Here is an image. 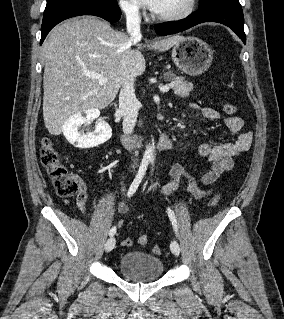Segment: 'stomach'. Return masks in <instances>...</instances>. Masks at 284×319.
<instances>
[{"mask_svg":"<svg viewBox=\"0 0 284 319\" xmlns=\"http://www.w3.org/2000/svg\"><path fill=\"white\" fill-rule=\"evenodd\" d=\"M172 60L185 74L197 76L210 67L213 51L205 41L197 37H182L173 46Z\"/></svg>","mask_w":284,"mask_h":319,"instance_id":"stomach-1","label":"stomach"}]
</instances>
